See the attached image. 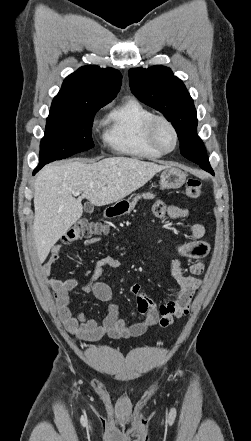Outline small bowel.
<instances>
[{
	"mask_svg": "<svg viewBox=\"0 0 251 441\" xmlns=\"http://www.w3.org/2000/svg\"><path fill=\"white\" fill-rule=\"evenodd\" d=\"M153 213L158 218L185 219L189 216L186 208L166 205L157 201L153 206ZM205 228L202 224L195 223L190 226L192 241L176 246L179 256L191 259L186 274L179 259L169 262L168 272L170 281L178 287V292L173 301L157 306L154 301L144 292L143 287L134 283L130 286V292L136 297L137 310L143 315V319L127 326L124 320L119 319V307L114 301L111 288L98 282V279L107 269H115L121 265L118 258L105 256L97 259L92 267L88 282L84 285L86 293H92L98 300L108 303L107 314L99 322L90 319L82 312L74 314L70 308V293L78 286L79 281L75 278L60 280L52 277V267L60 257V245H55L49 258L40 267V275L49 286L56 302L58 315L69 333L82 341L95 342L108 335L114 339L135 338L143 335L149 328L159 325L170 326L174 319L182 318L188 314L193 297L201 284L200 276L205 269L202 258L209 253L210 246L203 240ZM100 238H89L84 242L85 246L96 244Z\"/></svg>",
	"mask_w": 251,
	"mask_h": 441,
	"instance_id": "c3829d8e",
	"label": "small bowel"
}]
</instances>
